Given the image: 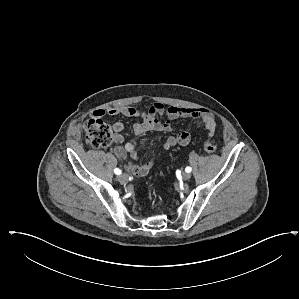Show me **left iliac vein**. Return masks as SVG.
I'll return each instance as SVG.
<instances>
[{
	"mask_svg": "<svg viewBox=\"0 0 299 299\" xmlns=\"http://www.w3.org/2000/svg\"><path fill=\"white\" fill-rule=\"evenodd\" d=\"M190 177H191L190 173H187V172L182 173V179L183 180H189Z\"/></svg>",
	"mask_w": 299,
	"mask_h": 299,
	"instance_id": "1",
	"label": "left iliac vein"
}]
</instances>
